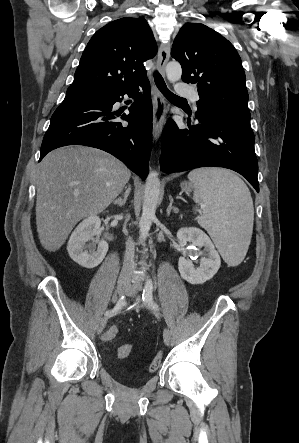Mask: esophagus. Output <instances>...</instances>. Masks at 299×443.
<instances>
[{
    "label": "esophagus",
    "instance_id": "1",
    "mask_svg": "<svg viewBox=\"0 0 299 443\" xmlns=\"http://www.w3.org/2000/svg\"><path fill=\"white\" fill-rule=\"evenodd\" d=\"M171 43H162L159 47L157 66L162 74L165 72L166 63L170 57ZM153 138L158 140L166 120V103L161 93L154 89L153 97Z\"/></svg>",
    "mask_w": 299,
    "mask_h": 443
}]
</instances>
